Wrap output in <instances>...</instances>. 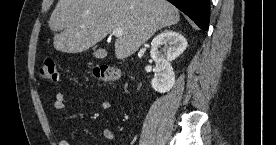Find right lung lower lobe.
I'll use <instances>...</instances> for the list:
<instances>
[{
    "label": "right lung lower lobe",
    "mask_w": 276,
    "mask_h": 145,
    "mask_svg": "<svg viewBox=\"0 0 276 145\" xmlns=\"http://www.w3.org/2000/svg\"><path fill=\"white\" fill-rule=\"evenodd\" d=\"M188 17L199 28L207 30L209 24L210 0H168Z\"/></svg>",
    "instance_id": "right-lung-lower-lobe-1"
}]
</instances>
